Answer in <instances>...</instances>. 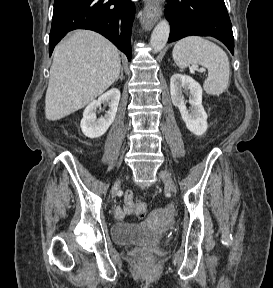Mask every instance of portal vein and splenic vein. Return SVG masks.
Returning <instances> with one entry per match:
<instances>
[{
	"label": "portal vein and splenic vein",
	"instance_id": "obj_1",
	"mask_svg": "<svg viewBox=\"0 0 273 288\" xmlns=\"http://www.w3.org/2000/svg\"><path fill=\"white\" fill-rule=\"evenodd\" d=\"M198 69V66L197 65H193L192 67H191V72H194L195 70H197ZM205 71V69L204 68H201L200 69V72H204Z\"/></svg>",
	"mask_w": 273,
	"mask_h": 288
}]
</instances>
